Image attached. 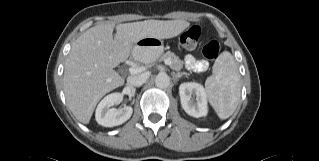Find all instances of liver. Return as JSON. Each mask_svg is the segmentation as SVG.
I'll return each instance as SVG.
<instances>
[{
	"instance_id": "6515ba94",
	"label": "liver",
	"mask_w": 319,
	"mask_h": 161,
	"mask_svg": "<svg viewBox=\"0 0 319 161\" xmlns=\"http://www.w3.org/2000/svg\"><path fill=\"white\" fill-rule=\"evenodd\" d=\"M189 25L185 20H145L116 26L106 22L85 31L72 44L63 77L66 102L76 119L88 124L100 99L124 84L113 68L129 57L140 39L173 38Z\"/></svg>"
}]
</instances>
